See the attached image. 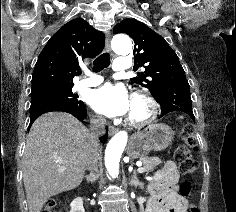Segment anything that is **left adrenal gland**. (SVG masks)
Segmentation results:
<instances>
[{
    "label": "left adrenal gland",
    "instance_id": "1",
    "mask_svg": "<svg viewBox=\"0 0 236 212\" xmlns=\"http://www.w3.org/2000/svg\"><path fill=\"white\" fill-rule=\"evenodd\" d=\"M130 184H131V185H134V186H137V185H140V184H141V183L139 182L138 178H137V175H136V172H135V171L133 172V175H132V177H131Z\"/></svg>",
    "mask_w": 236,
    "mask_h": 212
}]
</instances>
